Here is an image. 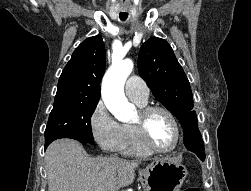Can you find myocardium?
Instances as JSON below:
<instances>
[{"mask_svg": "<svg viewBox=\"0 0 251 191\" xmlns=\"http://www.w3.org/2000/svg\"><path fill=\"white\" fill-rule=\"evenodd\" d=\"M139 112L141 113V119L137 122H134L132 126L135 128L137 136L140 142L143 144V146L147 148L149 151H151L152 153L162 155V156H170V155L176 154L180 150L183 144V132L175 114L163 106L146 105V104L140 107ZM155 112H162L166 114L172 120L175 126V129L177 132V144L175 148L172 149L171 151H161L157 149L149 140L148 132H147V125H148L149 118Z\"/></svg>", "mask_w": 251, "mask_h": 191, "instance_id": "f54148a6", "label": "myocardium"}]
</instances>
